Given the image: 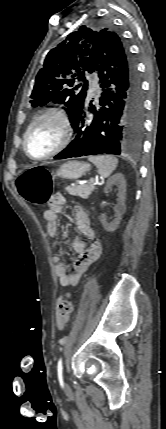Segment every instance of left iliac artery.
<instances>
[{
  "label": "left iliac artery",
  "instance_id": "left-iliac-artery-1",
  "mask_svg": "<svg viewBox=\"0 0 166 429\" xmlns=\"http://www.w3.org/2000/svg\"><path fill=\"white\" fill-rule=\"evenodd\" d=\"M57 370H58V377H59L60 381H62V379H63V377H62V372H63L62 358H60L58 360Z\"/></svg>",
  "mask_w": 166,
  "mask_h": 429
}]
</instances>
